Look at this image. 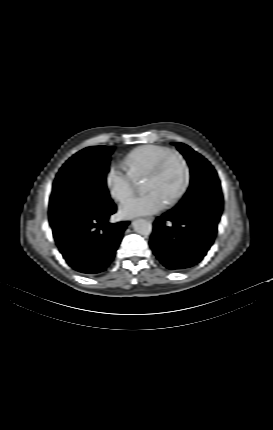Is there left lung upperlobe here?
<instances>
[{"label": "left lung upper lobe", "mask_w": 273, "mask_h": 430, "mask_svg": "<svg viewBox=\"0 0 273 430\" xmlns=\"http://www.w3.org/2000/svg\"><path fill=\"white\" fill-rule=\"evenodd\" d=\"M174 144L186 158L191 171L190 187L182 199H189L205 190L221 193L220 181L213 166L189 146L183 143Z\"/></svg>", "instance_id": "5c2ea615"}]
</instances>
